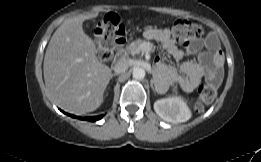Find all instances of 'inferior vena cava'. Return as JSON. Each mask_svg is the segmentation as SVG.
Here are the masks:
<instances>
[{
  "instance_id": "1",
  "label": "inferior vena cava",
  "mask_w": 261,
  "mask_h": 162,
  "mask_svg": "<svg viewBox=\"0 0 261 162\" xmlns=\"http://www.w3.org/2000/svg\"><path fill=\"white\" fill-rule=\"evenodd\" d=\"M129 65H130V61L128 59L121 58L115 63L113 69L115 73L119 74L125 72L128 69Z\"/></svg>"
}]
</instances>
